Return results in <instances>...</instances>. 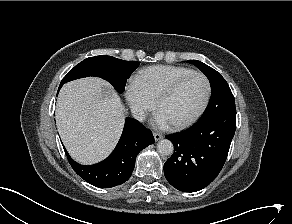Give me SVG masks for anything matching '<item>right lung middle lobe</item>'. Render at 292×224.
<instances>
[{"mask_svg":"<svg viewBox=\"0 0 292 224\" xmlns=\"http://www.w3.org/2000/svg\"><path fill=\"white\" fill-rule=\"evenodd\" d=\"M139 64L140 62L124 61L111 56L90 57L71 69L60 85L78 78L96 76L107 80L119 93H122L127 79Z\"/></svg>","mask_w":292,"mask_h":224,"instance_id":"right-lung-middle-lobe-1","label":"right lung middle lobe"}]
</instances>
